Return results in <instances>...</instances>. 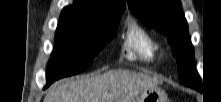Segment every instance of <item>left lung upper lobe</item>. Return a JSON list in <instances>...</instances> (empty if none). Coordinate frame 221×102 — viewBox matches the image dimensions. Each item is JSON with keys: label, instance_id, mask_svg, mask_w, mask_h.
<instances>
[{"label": "left lung upper lobe", "instance_id": "obj_1", "mask_svg": "<svg viewBox=\"0 0 221 102\" xmlns=\"http://www.w3.org/2000/svg\"><path fill=\"white\" fill-rule=\"evenodd\" d=\"M128 6L146 26L167 36L178 63L179 79L184 85L201 91L202 82L194 66L193 46L180 0H128Z\"/></svg>", "mask_w": 221, "mask_h": 102}]
</instances>
